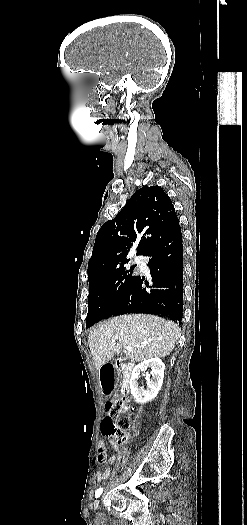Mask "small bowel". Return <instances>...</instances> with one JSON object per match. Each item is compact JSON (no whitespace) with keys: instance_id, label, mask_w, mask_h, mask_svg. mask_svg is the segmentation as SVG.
<instances>
[{"instance_id":"c3829d8e","label":"small bowel","mask_w":247,"mask_h":525,"mask_svg":"<svg viewBox=\"0 0 247 525\" xmlns=\"http://www.w3.org/2000/svg\"><path fill=\"white\" fill-rule=\"evenodd\" d=\"M105 438L116 450L117 444L115 443V441L111 437H108V436H105ZM106 459H107L106 443L104 440H101L98 444V454L96 457V461L99 465H104L106 462ZM116 461H117L116 455H112L109 458L108 460L109 466L104 468L103 470H99L96 475V479L98 482L107 480L109 478L110 472H111V466H113L116 463Z\"/></svg>"}]
</instances>
